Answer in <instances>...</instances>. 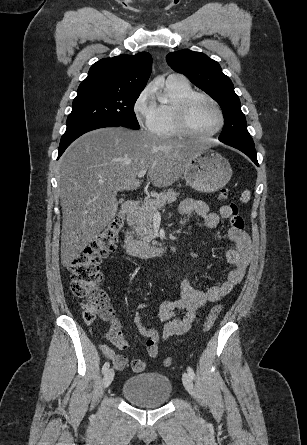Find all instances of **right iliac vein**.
<instances>
[{"label":"right iliac vein","mask_w":307,"mask_h":445,"mask_svg":"<svg viewBox=\"0 0 307 445\" xmlns=\"http://www.w3.org/2000/svg\"><path fill=\"white\" fill-rule=\"evenodd\" d=\"M113 379H114V370L113 369L107 370L103 377V387L104 388L109 387Z\"/></svg>","instance_id":"63e3f726"}]
</instances>
